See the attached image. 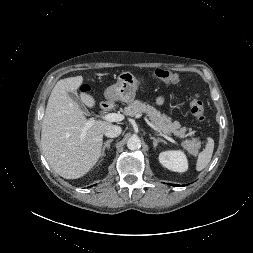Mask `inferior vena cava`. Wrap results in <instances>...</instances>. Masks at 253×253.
<instances>
[{"label": "inferior vena cava", "instance_id": "602c4592", "mask_svg": "<svg viewBox=\"0 0 253 253\" xmlns=\"http://www.w3.org/2000/svg\"><path fill=\"white\" fill-rule=\"evenodd\" d=\"M122 132V129L120 126L117 125H109L105 131L104 134L106 137L114 138L118 137Z\"/></svg>", "mask_w": 253, "mask_h": 253}]
</instances>
